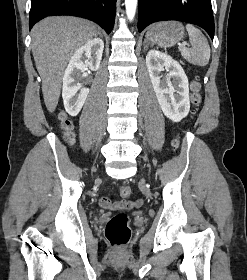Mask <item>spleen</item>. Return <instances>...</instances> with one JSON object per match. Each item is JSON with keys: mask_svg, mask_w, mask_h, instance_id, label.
<instances>
[{"mask_svg": "<svg viewBox=\"0 0 247 280\" xmlns=\"http://www.w3.org/2000/svg\"><path fill=\"white\" fill-rule=\"evenodd\" d=\"M191 47L181 48V55L191 64L206 66L210 59V46L203 33L191 24L186 25Z\"/></svg>", "mask_w": 247, "mask_h": 280, "instance_id": "obj_1", "label": "spleen"}]
</instances>
